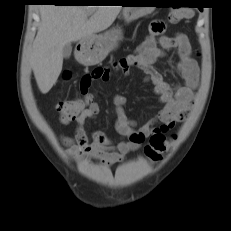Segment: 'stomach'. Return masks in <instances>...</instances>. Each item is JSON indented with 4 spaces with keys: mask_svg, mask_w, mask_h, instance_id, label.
I'll use <instances>...</instances> for the list:
<instances>
[{
    "mask_svg": "<svg viewBox=\"0 0 231 231\" xmlns=\"http://www.w3.org/2000/svg\"><path fill=\"white\" fill-rule=\"evenodd\" d=\"M131 4H153L150 0H131ZM155 7H124L122 15L126 22H132L140 17L150 14ZM122 30L113 28L103 34L92 35L83 39L81 48L77 51L78 60L86 65H95L103 61L110 51L118 47L122 39Z\"/></svg>",
    "mask_w": 231,
    "mask_h": 231,
    "instance_id": "1",
    "label": "stomach"
}]
</instances>
